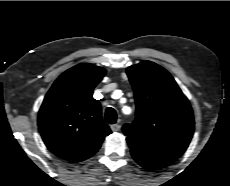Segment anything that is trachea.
Returning a JSON list of instances; mask_svg holds the SVG:
<instances>
[{"label":"trachea","mask_w":230,"mask_h":186,"mask_svg":"<svg viewBox=\"0 0 230 186\" xmlns=\"http://www.w3.org/2000/svg\"><path fill=\"white\" fill-rule=\"evenodd\" d=\"M116 120H117L116 111L113 108L108 107L105 111V121L109 124H114Z\"/></svg>","instance_id":"trachea-1"}]
</instances>
